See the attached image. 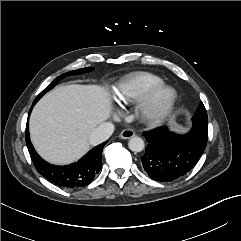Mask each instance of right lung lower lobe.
<instances>
[{"label":"right lung lower lobe","instance_id":"obj_1","mask_svg":"<svg viewBox=\"0 0 241 241\" xmlns=\"http://www.w3.org/2000/svg\"><path fill=\"white\" fill-rule=\"evenodd\" d=\"M35 103H33V105ZM31 110L32 107L29 111V115ZM25 137L27 148L37 171L46 179L60 187L72 189L86 186L93 181L94 177L101 170L102 150L107 142L90 150L76 163L65 166H56L43 160L34 150L29 137L28 121Z\"/></svg>","mask_w":241,"mask_h":241}]
</instances>
